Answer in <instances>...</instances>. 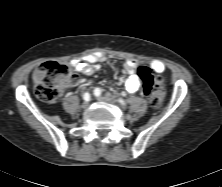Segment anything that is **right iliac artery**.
Segmentation results:
<instances>
[{"instance_id": "82829eb1", "label": "right iliac artery", "mask_w": 222, "mask_h": 187, "mask_svg": "<svg viewBox=\"0 0 222 187\" xmlns=\"http://www.w3.org/2000/svg\"><path fill=\"white\" fill-rule=\"evenodd\" d=\"M83 98L85 101H89L90 100V94L89 93H84Z\"/></svg>"}]
</instances>
